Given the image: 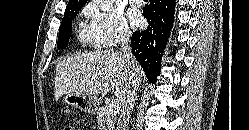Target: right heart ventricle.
I'll return each mask as SVG.
<instances>
[{"label":"right heart ventricle","instance_id":"e07e8e85","mask_svg":"<svg viewBox=\"0 0 249 130\" xmlns=\"http://www.w3.org/2000/svg\"><path fill=\"white\" fill-rule=\"evenodd\" d=\"M78 38L82 43H93L89 30L85 29L82 25L79 30Z\"/></svg>","mask_w":249,"mask_h":130}]
</instances>
